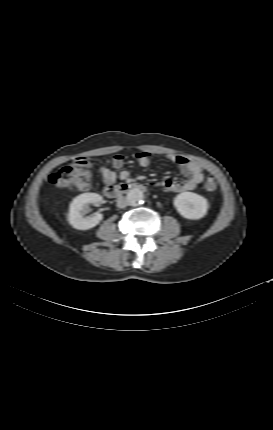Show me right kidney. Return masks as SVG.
<instances>
[{
	"mask_svg": "<svg viewBox=\"0 0 273 430\" xmlns=\"http://www.w3.org/2000/svg\"><path fill=\"white\" fill-rule=\"evenodd\" d=\"M102 202V196L97 193H84L77 196L69 207V223L79 230H88L95 227L102 220L103 215L100 213H96L92 217H84L83 215L87 210L88 204H98Z\"/></svg>",
	"mask_w": 273,
	"mask_h": 430,
	"instance_id": "ca27d5eb",
	"label": "right kidney"
}]
</instances>
